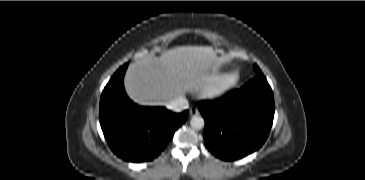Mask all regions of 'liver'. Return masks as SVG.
<instances>
[{"label": "liver", "mask_w": 365, "mask_h": 180, "mask_svg": "<svg viewBox=\"0 0 365 180\" xmlns=\"http://www.w3.org/2000/svg\"><path fill=\"white\" fill-rule=\"evenodd\" d=\"M222 60L210 46H180L131 65L125 76L129 97L141 105L166 103L194 90Z\"/></svg>", "instance_id": "liver-1"}]
</instances>
